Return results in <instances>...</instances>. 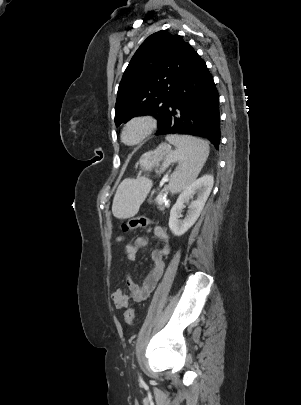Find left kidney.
I'll list each match as a JSON object with an SVG mask.
<instances>
[{
  "mask_svg": "<svg viewBox=\"0 0 301 405\" xmlns=\"http://www.w3.org/2000/svg\"><path fill=\"white\" fill-rule=\"evenodd\" d=\"M214 184L213 176L205 175L192 182L178 197L175 205L170 211L169 228L175 236H181L196 222L210 195ZM197 199L192 201L186 218L180 221L179 217L185 203H188L193 195Z\"/></svg>",
  "mask_w": 301,
  "mask_h": 405,
  "instance_id": "obj_1",
  "label": "left kidney"
}]
</instances>
